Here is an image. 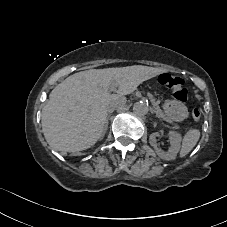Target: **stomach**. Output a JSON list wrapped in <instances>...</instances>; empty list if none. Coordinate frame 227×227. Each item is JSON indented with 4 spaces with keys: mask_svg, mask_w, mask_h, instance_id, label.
Here are the masks:
<instances>
[{
    "mask_svg": "<svg viewBox=\"0 0 227 227\" xmlns=\"http://www.w3.org/2000/svg\"><path fill=\"white\" fill-rule=\"evenodd\" d=\"M163 109L165 114L175 121H182L188 117L187 107L176 100H167L163 105Z\"/></svg>",
    "mask_w": 227,
    "mask_h": 227,
    "instance_id": "1",
    "label": "stomach"
}]
</instances>
